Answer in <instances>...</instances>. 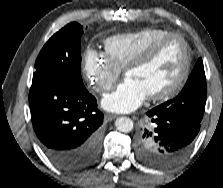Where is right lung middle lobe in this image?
Returning <instances> with one entry per match:
<instances>
[{
  "label": "right lung middle lobe",
  "mask_w": 223,
  "mask_h": 188,
  "mask_svg": "<svg viewBox=\"0 0 223 188\" xmlns=\"http://www.w3.org/2000/svg\"><path fill=\"white\" fill-rule=\"evenodd\" d=\"M83 27L70 23L55 33L40 51L33 78L55 80L71 88L86 90L81 77V35Z\"/></svg>",
  "instance_id": "right-lung-middle-lobe-1"
}]
</instances>
